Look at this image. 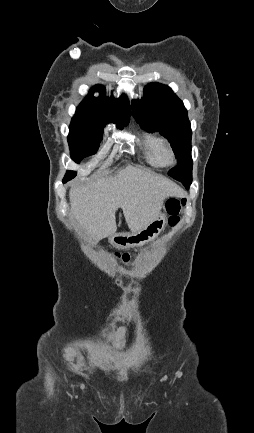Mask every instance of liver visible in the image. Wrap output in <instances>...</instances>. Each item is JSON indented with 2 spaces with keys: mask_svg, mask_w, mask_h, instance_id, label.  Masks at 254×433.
Wrapping results in <instances>:
<instances>
[{
  "mask_svg": "<svg viewBox=\"0 0 254 433\" xmlns=\"http://www.w3.org/2000/svg\"><path fill=\"white\" fill-rule=\"evenodd\" d=\"M166 177L132 165L69 192L71 215L96 245L117 230L115 213L122 208L132 232L145 228L160 213L164 200L181 194Z\"/></svg>",
  "mask_w": 254,
  "mask_h": 433,
  "instance_id": "liver-1",
  "label": "liver"
}]
</instances>
